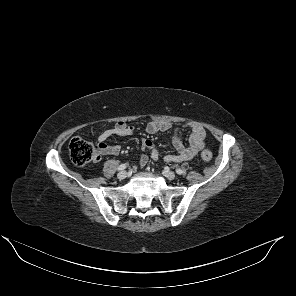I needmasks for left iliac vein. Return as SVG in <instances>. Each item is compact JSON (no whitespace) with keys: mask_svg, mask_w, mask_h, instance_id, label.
<instances>
[{"mask_svg":"<svg viewBox=\"0 0 296 296\" xmlns=\"http://www.w3.org/2000/svg\"><path fill=\"white\" fill-rule=\"evenodd\" d=\"M163 175L169 180H173L176 177L175 173L173 171H170L169 169H164Z\"/></svg>","mask_w":296,"mask_h":296,"instance_id":"left-iliac-vein-1","label":"left iliac vein"}]
</instances>
